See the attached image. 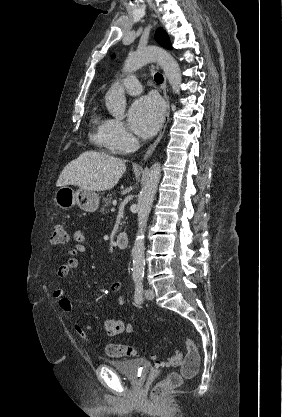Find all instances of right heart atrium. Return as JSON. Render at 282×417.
I'll return each instance as SVG.
<instances>
[{
	"label": "right heart atrium",
	"instance_id": "right-heart-atrium-1",
	"mask_svg": "<svg viewBox=\"0 0 282 417\" xmlns=\"http://www.w3.org/2000/svg\"><path fill=\"white\" fill-rule=\"evenodd\" d=\"M111 138L112 145L117 151L128 152L133 147V136L128 132L125 125L119 120H114Z\"/></svg>",
	"mask_w": 282,
	"mask_h": 417
}]
</instances>
